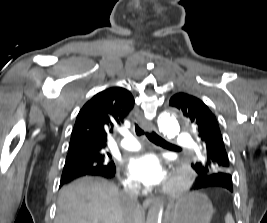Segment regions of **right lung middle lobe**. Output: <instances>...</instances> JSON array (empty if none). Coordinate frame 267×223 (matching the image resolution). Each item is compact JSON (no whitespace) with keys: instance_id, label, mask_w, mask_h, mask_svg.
<instances>
[{"instance_id":"obj_1","label":"right lung middle lobe","mask_w":267,"mask_h":223,"mask_svg":"<svg viewBox=\"0 0 267 223\" xmlns=\"http://www.w3.org/2000/svg\"><path fill=\"white\" fill-rule=\"evenodd\" d=\"M110 153L95 147H84L68 153L63 172L88 173L93 171H115Z\"/></svg>"}]
</instances>
